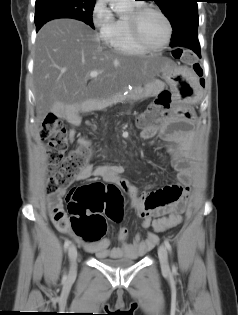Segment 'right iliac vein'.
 <instances>
[{
  "mask_svg": "<svg viewBox=\"0 0 238 315\" xmlns=\"http://www.w3.org/2000/svg\"><path fill=\"white\" fill-rule=\"evenodd\" d=\"M69 260H70V276H74L76 273V266H77V249L75 245H70L69 247Z\"/></svg>",
  "mask_w": 238,
  "mask_h": 315,
  "instance_id": "1",
  "label": "right iliac vein"
}]
</instances>
